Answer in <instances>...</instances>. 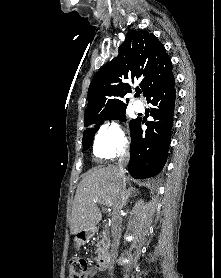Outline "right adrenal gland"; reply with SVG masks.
I'll list each match as a JSON object with an SVG mask.
<instances>
[{
	"instance_id": "obj_1",
	"label": "right adrenal gland",
	"mask_w": 221,
	"mask_h": 278,
	"mask_svg": "<svg viewBox=\"0 0 221 278\" xmlns=\"http://www.w3.org/2000/svg\"><path fill=\"white\" fill-rule=\"evenodd\" d=\"M137 195L136 191L132 188H129L126 190V195H125V203L127 204L128 200L130 197H135Z\"/></svg>"
}]
</instances>
